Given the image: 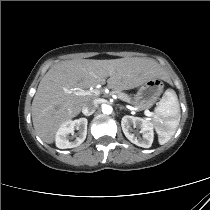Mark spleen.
<instances>
[{
  "label": "spleen",
  "mask_w": 210,
  "mask_h": 210,
  "mask_svg": "<svg viewBox=\"0 0 210 210\" xmlns=\"http://www.w3.org/2000/svg\"><path fill=\"white\" fill-rule=\"evenodd\" d=\"M180 117L177 95L174 90L168 89L162 96L152 120L161 145L167 143L175 134Z\"/></svg>",
  "instance_id": "spleen-1"
}]
</instances>
